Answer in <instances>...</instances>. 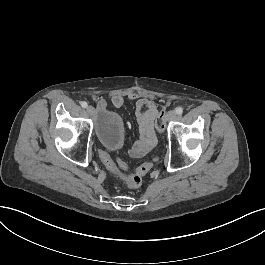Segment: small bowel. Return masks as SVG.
<instances>
[{
  "label": "small bowel",
  "instance_id": "c3829d8e",
  "mask_svg": "<svg viewBox=\"0 0 265 265\" xmlns=\"http://www.w3.org/2000/svg\"><path fill=\"white\" fill-rule=\"evenodd\" d=\"M125 99L136 102L137 121L143 136L142 140L130 151V154L136 158L142 157L155 143L153 121L156 115V105L147 96H139L137 93H129L126 97L119 92L111 94V103L116 108L122 107ZM103 164L112 173L118 171L116 162L109 155ZM119 165L123 167L124 164L119 162Z\"/></svg>",
  "mask_w": 265,
  "mask_h": 265
}]
</instances>
